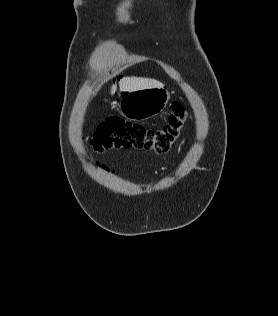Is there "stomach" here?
Wrapping results in <instances>:
<instances>
[{
    "label": "stomach",
    "instance_id": "0dacf381",
    "mask_svg": "<svg viewBox=\"0 0 278 316\" xmlns=\"http://www.w3.org/2000/svg\"><path fill=\"white\" fill-rule=\"evenodd\" d=\"M169 98V92L163 87L124 92L121 94L119 109L127 119L145 120L162 112Z\"/></svg>",
    "mask_w": 278,
    "mask_h": 316
}]
</instances>
